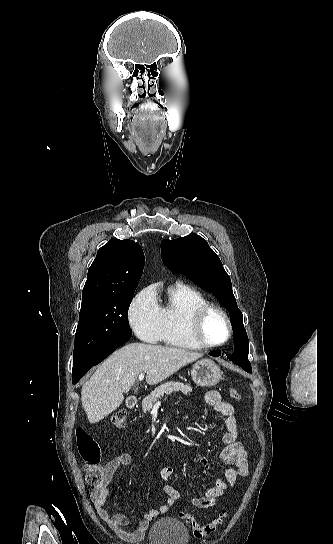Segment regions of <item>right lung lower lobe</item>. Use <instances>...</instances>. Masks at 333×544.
Masks as SVG:
<instances>
[{
    "label": "right lung lower lobe",
    "instance_id": "1",
    "mask_svg": "<svg viewBox=\"0 0 333 544\" xmlns=\"http://www.w3.org/2000/svg\"><path fill=\"white\" fill-rule=\"evenodd\" d=\"M130 338L131 335L119 336L112 341L106 343L105 345L101 346L84 360L74 365L72 372L73 384H76L91 367L100 363L117 347L127 342Z\"/></svg>",
    "mask_w": 333,
    "mask_h": 544
}]
</instances>
